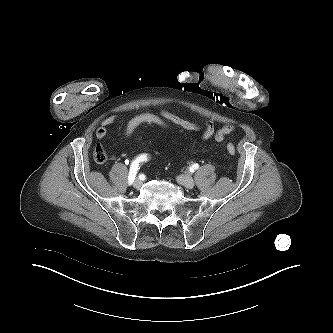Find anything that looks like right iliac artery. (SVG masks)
Wrapping results in <instances>:
<instances>
[{
	"mask_svg": "<svg viewBox=\"0 0 333 333\" xmlns=\"http://www.w3.org/2000/svg\"><path fill=\"white\" fill-rule=\"evenodd\" d=\"M146 154L139 155L131 164L129 175H128V183L131 185L134 182L137 171L139 170V163L147 160Z\"/></svg>",
	"mask_w": 333,
	"mask_h": 333,
	"instance_id": "1",
	"label": "right iliac artery"
}]
</instances>
